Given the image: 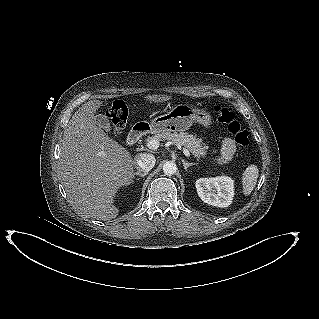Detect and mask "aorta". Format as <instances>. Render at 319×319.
Returning a JSON list of instances; mask_svg holds the SVG:
<instances>
[{
    "label": "aorta",
    "mask_w": 319,
    "mask_h": 319,
    "mask_svg": "<svg viewBox=\"0 0 319 319\" xmlns=\"http://www.w3.org/2000/svg\"><path fill=\"white\" fill-rule=\"evenodd\" d=\"M176 170H177V166L172 161H167L163 165V172L166 175H173L174 173H176Z\"/></svg>",
    "instance_id": "aorta-1"
}]
</instances>
